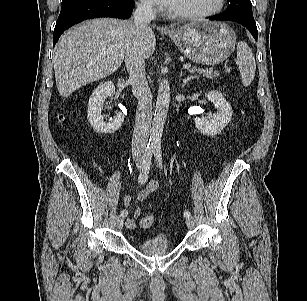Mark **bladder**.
I'll return each mask as SVG.
<instances>
[{"mask_svg":"<svg viewBox=\"0 0 307 301\" xmlns=\"http://www.w3.org/2000/svg\"><path fill=\"white\" fill-rule=\"evenodd\" d=\"M170 243L165 234L143 239L138 242L137 249L148 256H158L166 253L170 249Z\"/></svg>","mask_w":307,"mask_h":301,"instance_id":"obj_1","label":"bladder"}]
</instances>
